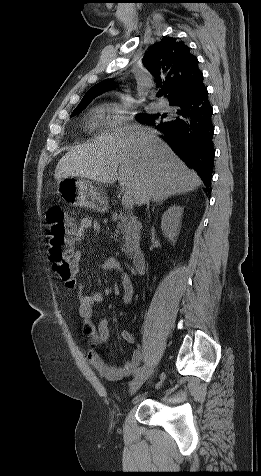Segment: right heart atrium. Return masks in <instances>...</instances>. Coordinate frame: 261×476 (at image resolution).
<instances>
[{"mask_svg": "<svg viewBox=\"0 0 261 476\" xmlns=\"http://www.w3.org/2000/svg\"><path fill=\"white\" fill-rule=\"evenodd\" d=\"M108 113V124L110 127H118L133 120L135 112L123 104H108L105 107Z\"/></svg>", "mask_w": 261, "mask_h": 476, "instance_id": "d8ad5b80", "label": "right heart atrium"}]
</instances>
